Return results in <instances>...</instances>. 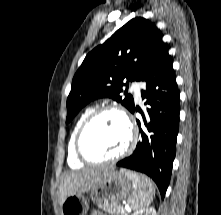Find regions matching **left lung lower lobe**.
<instances>
[{"instance_id": "obj_1", "label": "left lung lower lobe", "mask_w": 221, "mask_h": 215, "mask_svg": "<svg viewBox=\"0 0 221 215\" xmlns=\"http://www.w3.org/2000/svg\"><path fill=\"white\" fill-rule=\"evenodd\" d=\"M146 90L141 92L147 105L141 111L144 126L138 121L140 138L133 154L117 163V166L147 174L157 184L164 198L172 174L179 127V91L168 54L162 46L151 66L141 79ZM132 108L131 112L134 113Z\"/></svg>"}]
</instances>
